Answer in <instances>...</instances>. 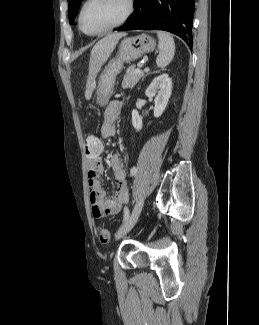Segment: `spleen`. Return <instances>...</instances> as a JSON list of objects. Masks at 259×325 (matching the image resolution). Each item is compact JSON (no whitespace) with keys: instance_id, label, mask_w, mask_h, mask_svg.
<instances>
[{"instance_id":"1","label":"spleen","mask_w":259,"mask_h":325,"mask_svg":"<svg viewBox=\"0 0 259 325\" xmlns=\"http://www.w3.org/2000/svg\"><path fill=\"white\" fill-rule=\"evenodd\" d=\"M157 36L159 39L158 50L159 54L156 58L158 67H166L173 59L175 54V43L173 37L163 31H158Z\"/></svg>"}]
</instances>
